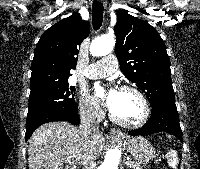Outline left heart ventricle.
Masks as SVG:
<instances>
[{"label":"left heart ventricle","instance_id":"left-heart-ventricle-1","mask_svg":"<svg viewBox=\"0 0 200 169\" xmlns=\"http://www.w3.org/2000/svg\"><path fill=\"white\" fill-rule=\"evenodd\" d=\"M112 114L125 122L133 123L143 115V105L140 98L130 91H118Z\"/></svg>","mask_w":200,"mask_h":169}]
</instances>
